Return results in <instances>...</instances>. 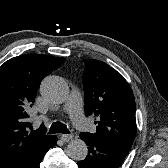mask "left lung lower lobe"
<instances>
[{"label":"left lung lower lobe","mask_w":168,"mask_h":168,"mask_svg":"<svg viewBox=\"0 0 168 168\" xmlns=\"http://www.w3.org/2000/svg\"><path fill=\"white\" fill-rule=\"evenodd\" d=\"M80 137L88 146V155L78 162L79 168H119L128 153L89 133H81Z\"/></svg>","instance_id":"left-lung-lower-lobe-1"}]
</instances>
